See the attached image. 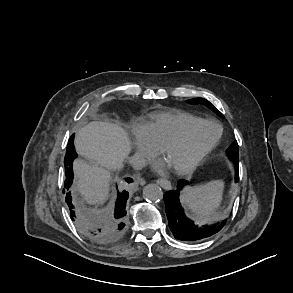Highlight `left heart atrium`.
Wrapping results in <instances>:
<instances>
[{
    "label": "left heart atrium",
    "instance_id": "obj_1",
    "mask_svg": "<svg viewBox=\"0 0 293 293\" xmlns=\"http://www.w3.org/2000/svg\"><path fill=\"white\" fill-rule=\"evenodd\" d=\"M155 168H156L157 170H160V169H161V166H160V165H157V166H155Z\"/></svg>",
    "mask_w": 293,
    "mask_h": 293
}]
</instances>
